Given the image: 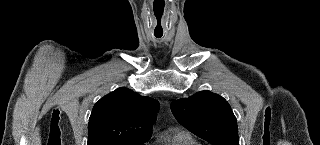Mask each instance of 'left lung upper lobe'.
Instances as JSON below:
<instances>
[{
    "label": "left lung upper lobe",
    "mask_w": 320,
    "mask_h": 145,
    "mask_svg": "<svg viewBox=\"0 0 320 145\" xmlns=\"http://www.w3.org/2000/svg\"><path fill=\"white\" fill-rule=\"evenodd\" d=\"M177 121L213 145H239L236 118L228 102L210 91L171 103Z\"/></svg>",
    "instance_id": "5c2ea615"
}]
</instances>
